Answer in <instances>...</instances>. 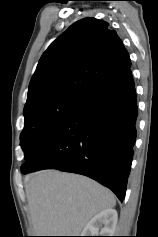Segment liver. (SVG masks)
Returning <instances> with one entry per match:
<instances>
[{"label": "liver", "instance_id": "obj_1", "mask_svg": "<svg viewBox=\"0 0 158 237\" xmlns=\"http://www.w3.org/2000/svg\"><path fill=\"white\" fill-rule=\"evenodd\" d=\"M24 186L35 236H79L92 217L116 204L94 180L57 170L29 175Z\"/></svg>", "mask_w": 158, "mask_h": 237}]
</instances>
